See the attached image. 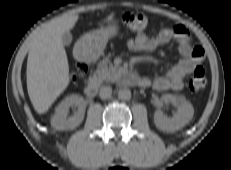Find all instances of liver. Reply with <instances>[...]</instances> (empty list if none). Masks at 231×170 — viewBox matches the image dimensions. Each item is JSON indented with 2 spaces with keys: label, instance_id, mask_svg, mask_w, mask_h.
I'll return each mask as SVG.
<instances>
[{
  "label": "liver",
  "instance_id": "1",
  "mask_svg": "<svg viewBox=\"0 0 231 170\" xmlns=\"http://www.w3.org/2000/svg\"><path fill=\"white\" fill-rule=\"evenodd\" d=\"M78 15H65L47 23L32 40L27 60V90L37 113L48 111L70 83L69 64L62 36Z\"/></svg>",
  "mask_w": 231,
  "mask_h": 170
}]
</instances>
